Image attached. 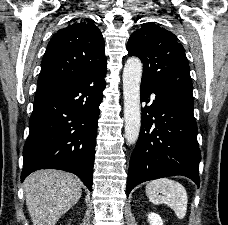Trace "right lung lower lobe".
<instances>
[{
  "label": "right lung lower lobe",
  "mask_w": 228,
  "mask_h": 225,
  "mask_svg": "<svg viewBox=\"0 0 228 225\" xmlns=\"http://www.w3.org/2000/svg\"><path fill=\"white\" fill-rule=\"evenodd\" d=\"M106 65L72 81L37 89L21 181L38 169L77 175L91 191Z\"/></svg>",
  "instance_id": "98d812e1"
}]
</instances>
